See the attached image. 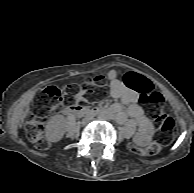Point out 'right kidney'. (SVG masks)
<instances>
[{"label": "right kidney", "mask_w": 194, "mask_h": 193, "mask_svg": "<svg viewBox=\"0 0 194 193\" xmlns=\"http://www.w3.org/2000/svg\"><path fill=\"white\" fill-rule=\"evenodd\" d=\"M64 135L63 127L57 116L52 117L47 124V139L50 142H58Z\"/></svg>", "instance_id": "ca27d5eb"}]
</instances>
